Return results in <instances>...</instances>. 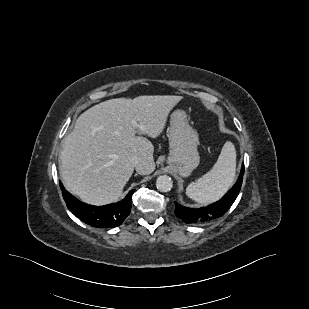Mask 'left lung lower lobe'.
Returning <instances> with one entry per match:
<instances>
[{
    "instance_id": "left-lung-lower-lobe-1",
    "label": "left lung lower lobe",
    "mask_w": 309,
    "mask_h": 309,
    "mask_svg": "<svg viewBox=\"0 0 309 309\" xmlns=\"http://www.w3.org/2000/svg\"><path fill=\"white\" fill-rule=\"evenodd\" d=\"M244 164L236 184L219 201L203 208L192 209L175 203V214L186 224H205L223 216L236 200L242 186Z\"/></svg>"
}]
</instances>
